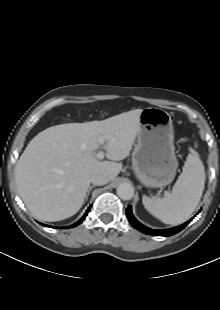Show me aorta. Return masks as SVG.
Wrapping results in <instances>:
<instances>
[{"label": "aorta", "instance_id": "aorta-1", "mask_svg": "<svg viewBox=\"0 0 220 310\" xmlns=\"http://www.w3.org/2000/svg\"><path fill=\"white\" fill-rule=\"evenodd\" d=\"M117 195L123 200H130L134 196V188L129 183H122L117 188Z\"/></svg>", "mask_w": 220, "mask_h": 310}]
</instances>
